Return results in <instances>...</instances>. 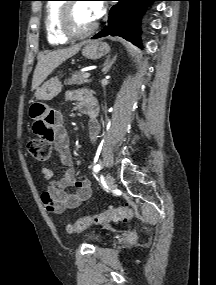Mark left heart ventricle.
I'll list each match as a JSON object with an SVG mask.
<instances>
[{
    "label": "left heart ventricle",
    "instance_id": "obj_1",
    "mask_svg": "<svg viewBox=\"0 0 216 285\" xmlns=\"http://www.w3.org/2000/svg\"><path fill=\"white\" fill-rule=\"evenodd\" d=\"M96 20L94 19L88 3L77 2L73 7V26L77 31L89 29Z\"/></svg>",
    "mask_w": 216,
    "mask_h": 285
}]
</instances>
